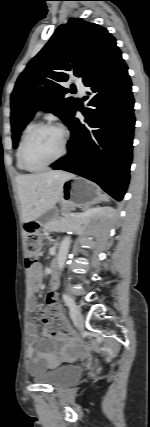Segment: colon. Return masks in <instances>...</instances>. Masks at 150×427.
Returning <instances> with one entry per match:
<instances>
[{"mask_svg":"<svg viewBox=\"0 0 150 427\" xmlns=\"http://www.w3.org/2000/svg\"><path fill=\"white\" fill-rule=\"evenodd\" d=\"M24 232L27 241L26 265L28 267H33L38 262V257L43 245L42 234L38 224L35 222L27 223ZM41 318L49 336L54 338L74 337L57 304L56 295L52 292L47 295L46 307L41 313Z\"/></svg>","mask_w":150,"mask_h":427,"instance_id":"obj_1","label":"colon"}]
</instances>
